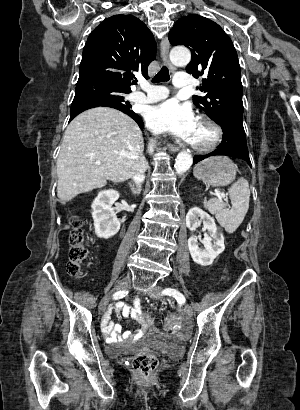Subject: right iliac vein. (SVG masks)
Segmentation results:
<instances>
[{"label": "right iliac vein", "mask_w": 300, "mask_h": 410, "mask_svg": "<svg viewBox=\"0 0 300 410\" xmlns=\"http://www.w3.org/2000/svg\"><path fill=\"white\" fill-rule=\"evenodd\" d=\"M130 284H131V280L129 278H124L117 283L114 290L115 291L126 290L130 287ZM109 300H110V294L104 296V298L101 300L99 304V312L105 311L109 303Z\"/></svg>", "instance_id": "obj_1"}]
</instances>
